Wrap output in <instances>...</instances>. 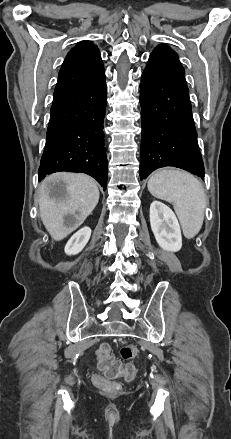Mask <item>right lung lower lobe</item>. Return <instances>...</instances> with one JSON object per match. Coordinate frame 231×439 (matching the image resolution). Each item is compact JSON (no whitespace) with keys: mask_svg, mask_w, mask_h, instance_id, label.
Segmentation results:
<instances>
[{"mask_svg":"<svg viewBox=\"0 0 231 439\" xmlns=\"http://www.w3.org/2000/svg\"><path fill=\"white\" fill-rule=\"evenodd\" d=\"M104 73L91 83L54 99L39 181L59 171L82 172L106 190L107 157L103 120L106 108Z\"/></svg>","mask_w":231,"mask_h":439,"instance_id":"right-lung-lower-lobe-1","label":"right lung lower lobe"}]
</instances>
